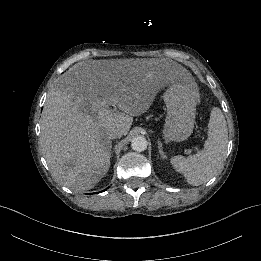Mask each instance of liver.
<instances>
[{
  "label": "liver",
  "mask_w": 261,
  "mask_h": 261,
  "mask_svg": "<svg viewBox=\"0 0 261 261\" xmlns=\"http://www.w3.org/2000/svg\"><path fill=\"white\" fill-rule=\"evenodd\" d=\"M188 75L182 68L162 76L159 68L137 63L94 61L70 68L48 93L40 122V143L53 178L75 191L94 188L110 167L108 132L118 128L127 135L133 116L145 113L160 89Z\"/></svg>",
  "instance_id": "obj_1"
}]
</instances>
